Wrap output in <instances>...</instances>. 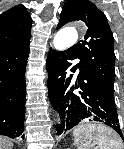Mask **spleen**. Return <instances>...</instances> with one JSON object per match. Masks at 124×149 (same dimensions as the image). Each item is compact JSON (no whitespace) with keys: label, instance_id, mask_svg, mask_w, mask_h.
I'll return each mask as SVG.
<instances>
[{"label":"spleen","instance_id":"spleen-1","mask_svg":"<svg viewBox=\"0 0 124 149\" xmlns=\"http://www.w3.org/2000/svg\"><path fill=\"white\" fill-rule=\"evenodd\" d=\"M105 127V126H103ZM107 127L100 128L96 133L92 131L89 126L81 125L74 129L73 135L76 143L80 141L79 149H86V141L80 139H89V142L93 141L98 145L97 149H120L119 140L116 137L110 135Z\"/></svg>","mask_w":124,"mask_h":149}]
</instances>
